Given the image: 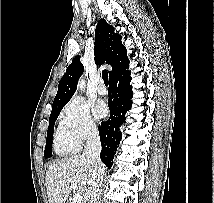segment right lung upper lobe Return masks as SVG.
<instances>
[{
	"mask_svg": "<svg viewBox=\"0 0 214 203\" xmlns=\"http://www.w3.org/2000/svg\"><path fill=\"white\" fill-rule=\"evenodd\" d=\"M121 38V35L114 32L113 26L104 19L99 20L95 30L94 54L97 65L106 63L112 66V71L109 72L110 78L124 71L129 65L126 48L122 45ZM82 73L83 64L80 62V56H76L59 82L51 114L61 111L68 103Z\"/></svg>",
	"mask_w": 214,
	"mask_h": 203,
	"instance_id": "right-lung-upper-lobe-1",
	"label": "right lung upper lobe"
}]
</instances>
